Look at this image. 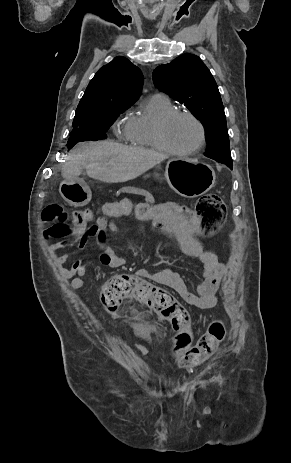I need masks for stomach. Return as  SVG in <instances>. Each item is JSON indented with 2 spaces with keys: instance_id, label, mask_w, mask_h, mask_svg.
Here are the masks:
<instances>
[{
  "instance_id": "stomach-1",
  "label": "stomach",
  "mask_w": 291,
  "mask_h": 463,
  "mask_svg": "<svg viewBox=\"0 0 291 463\" xmlns=\"http://www.w3.org/2000/svg\"><path fill=\"white\" fill-rule=\"evenodd\" d=\"M165 178L179 195L195 198L207 193L215 185V171L206 164L188 158H172L167 162ZM61 196L73 206L89 202L91 192L81 180L65 179L59 187Z\"/></svg>"
}]
</instances>
